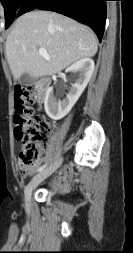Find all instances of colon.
<instances>
[{"mask_svg": "<svg viewBox=\"0 0 133 253\" xmlns=\"http://www.w3.org/2000/svg\"><path fill=\"white\" fill-rule=\"evenodd\" d=\"M35 103L33 88L25 86L15 90L14 135L22 142L18 164L23 170L37 164L48 141L50 122L34 114L32 106Z\"/></svg>", "mask_w": 133, "mask_h": 253, "instance_id": "5ec220e1", "label": "colon"}]
</instances>
